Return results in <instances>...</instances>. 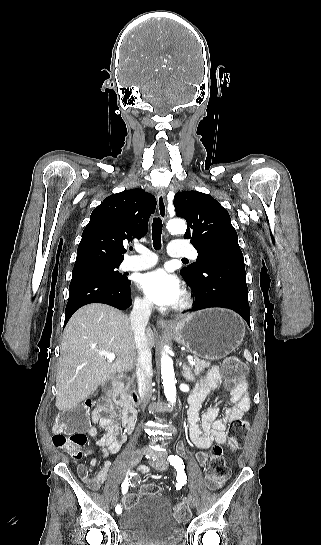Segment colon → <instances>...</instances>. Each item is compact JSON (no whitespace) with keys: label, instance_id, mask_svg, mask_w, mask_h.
<instances>
[{"label":"colon","instance_id":"obj_1","mask_svg":"<svg viewBox=\"0 0 321 545\" xmlns=\"http://www.w3.org/2000/svg\"><path fill=\"white\" fill-rule=\"evenodd\" d=\"M221 368L223 374L227 377L231 390L245 387L246 367L238 358H226ZM87 409L88 406L65 410L56 416L53 425L52 441L54 446L68 452L75 459H81L84 455L83 447L87 441L85 430L88 426ZM249 428L250 424L246 420L236 419L231 421L228 429V445L232 451L243 448ZM222 452V447L215 445L210 453V462L206 469L205 479L207 486L212 490L219 489L229 475V468ZM78 473L88 486L93 489L99 487L98 480L89 475L84 465H79ZM159 492L160 488L155 484L144 485L141 489V493L145 495ZM137 500L138 496L136 494L128 493L121 499V505L126 509L131 507ZM173 512L174 516L180 521H186L190 516L188 506L184 502L175 505Z\"/></svg>","mask_w":321,"mask_h":545}]
</instances>
